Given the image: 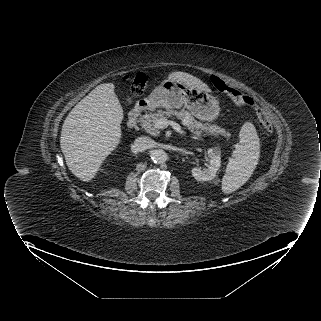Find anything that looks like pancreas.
<instances>
[{
  "instance_id": "1",
  "label": "pancreas",
  "mask_w": 321,
  "mask_h": 321,
  "mask_svg": "<svg viewBox=\"0 0 321 321\" xmlns=\"http://www.w3.org/2000/svg\"><path fill=\"white\" fill-rule=\"evenodd\" d=\"M176 116L178 119L182 120V124L186 126L193 134L196 136L211 134L213 136L222 135L226 138L230 137V133L224 128H220L217 125L201 123L194 119V117L186 110L182 109L172 110L168 109L166 111L158 110L156 113H149L143 116L140 120L142 128L153 136H159L160 128L155 126V122L161 118Z\"/></svg>"
}]
</instances>
